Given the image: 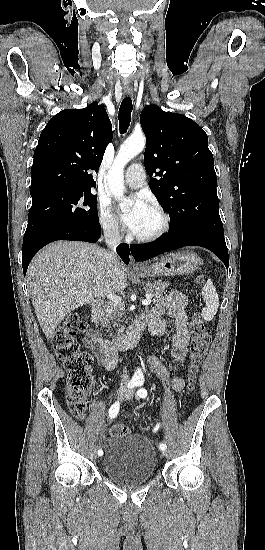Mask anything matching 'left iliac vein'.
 <instances>
[{"mask_svg": "<svg viewBox=\"0 0 265 550\" xmlns=\"http://www.w3.org/2000/svg\"><path fill=\"white\" fill-rule=\"evenodd\" d=\"M132 396H133V391H129V392L126 393L125 398H126L127 400H130V399L132 398ZM163 454H164L165 456H168L167 450H163Z\"/></svg>", "mask_w": 265, "mask_h": 550, "instance_id": "obj_1", "label": "left iliac vein"}]
</instances>
